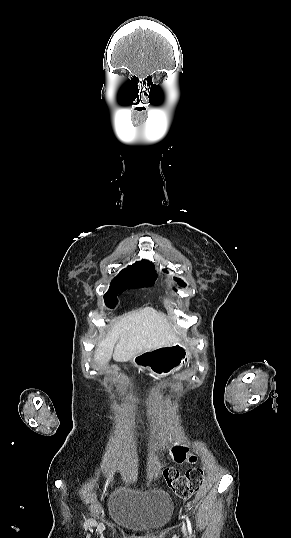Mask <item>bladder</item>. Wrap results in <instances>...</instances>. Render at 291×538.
<instances>
[{"label":"bladder","instance_id":"31cf9c89","mask_svg":"<svg viewBox=\"0 0 291 538\" xmlns=\"http://www.w3.org/2000/svg\"><path fill=\"white\" fill-rule=\"evenodd\" d=\"M108 506L111 522L134 533L159 531L173 513L172 499L163 489H136L122 477L109 490Z\"/></svg>","mask_w":291,"mask_h":538}]
</instances>
